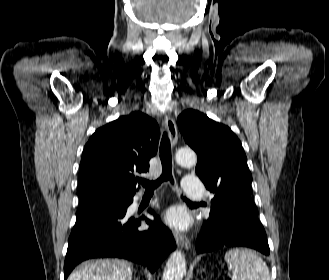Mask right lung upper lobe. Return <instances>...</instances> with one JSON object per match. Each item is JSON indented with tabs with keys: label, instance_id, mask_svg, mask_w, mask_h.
<instances>
[{
	"label": "right lung upper lobe",
	"instance_id": "cb5924a9",
	"mask_svg": "<svg viewBox=\"0 0 329 280\" xmlns=\"http://www.w3.org/2000/svg\"><path fill=\"white\" fill-rule=\"evenodd\" d=\"M159 137L157 122L141 112L121 116L97 129L82 153L80 200L134 195V174L149 171Z\"/></svg>",
	"mask_w": 329,
	"mask_h": 280
}]
</instances>
